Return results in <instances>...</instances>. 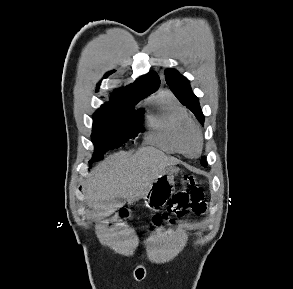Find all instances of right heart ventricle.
<instances>
[{
    "label": "right heart ventricle",
    "instance_id": "right-heart-ventricle-1",
    "mask_svg": "<svg viewBox=\"0 0 293 289\" xmlns=\"http://www.w3.org/2000/svg\"><path fill=\"white\" fill-rule=\"evenodd\" d=\"M146 109V142L166 152L179 153L175 135L181 123L189 119L186 110L167 90L153 95Z\"/></svg>",
    "mask_w": 293,
    "mask_h": 289
}]
</instances>
